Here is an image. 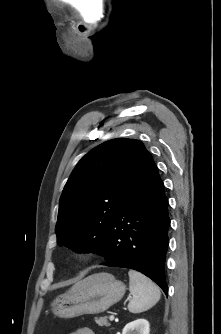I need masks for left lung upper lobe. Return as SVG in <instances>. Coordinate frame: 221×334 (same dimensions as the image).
I'll use <instances>...</instances> for the list:
<instances>
[{
	"label": "left lung upper lobe",
	"mask_w": 221,
	"mask_h": 334,
	"mask_svg": "<svg viewBox=\"0 0 221 334\" xmlns=\"http://www.w3.org/2000/svg\"><path fill=\"white\" fill-rule=\"evenodd\" d=\"M153 163L135 139H112L92 149L74 168L61 195L57 243L74 252L103 254L115 216Z\"/></svg>",
	"instance_id": "1"
}]
</instances>
